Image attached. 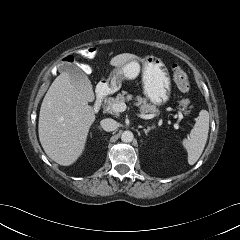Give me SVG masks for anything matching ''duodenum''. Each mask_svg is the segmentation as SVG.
<instances>
[{
  "label": "duodenum",
  "instance_id": "1",
  "mask_svg": "<svg viewBox=\"0 0 240 240\" xmlns=\"http://www.w3.org/2000/svg\"><path fill=\"white\" fill-rule=\"evenodd\" d=\"M110 92V86L107 83H102L99 85V87L96 89V98L93 103L94 110L97 111L100 109L103 100Z\"/></svg>",
  "mask_w": 240,
  "mask_h": 240
}]
</instances>
